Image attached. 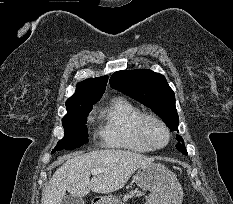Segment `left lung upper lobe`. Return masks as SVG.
<instances>
[{
	"label": "left lung upper lobe",
	"instance_id": "left-lung-upper-lobe-1",
	"mask_svg": "<svg viewBox=\"0 0 233 204\" xmlns=\"http://www.w3.org/2000/svg\"><path fill=\"white\" fill-rule=\"evenodd\" d=\"M110 86L151 108L171 131L178 130L175 94L163 75L150 69L117 71L110 78ZM177 141L176 148L187 155L181 136L177 135Z\"/></svg>",
	"mask_w": 233,
	"mask_h": 204
}]
</instances>
